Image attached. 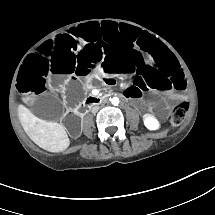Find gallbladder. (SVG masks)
<instances>
[{
  "label": "gallbladder",
  "instance_id": "gallbladder-1",
  "mask_svg": "<svg viewBox=\"0 0 215 215\" xmlns=\"http://www.w3.org/2000/svg\"><path fill=\"white\" fill-rule=\"evenodd\" d=\"M61 111L59 103L51 96H45L35 103L33 112L41 120L54 119Z\"/></svg>",
  "mask_w": 215,
  "mask_h": 215
}]
</instances>
